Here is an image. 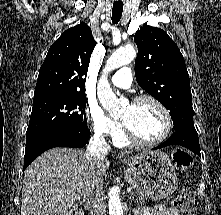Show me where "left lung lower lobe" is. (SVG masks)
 Returning a JSON list of instances; mask_svg holds the SVG:
<instances>
[{"instance_id": "0a47b994", "label": "left lung lower lobe", "mask_w": 221, "mask_h": 215, "mask_svg": "<svg viewBox=\"0 0 221 215\" xmlns=\"http://www.w3.org/2000/svg\"><path fill=\"white\" fill-rule=\"evenodd\" d=\"M169 145H181L200 155L199 139L195 129L176 130L164 143L154 149H160Z\"/></svg>"}]
</instances>
